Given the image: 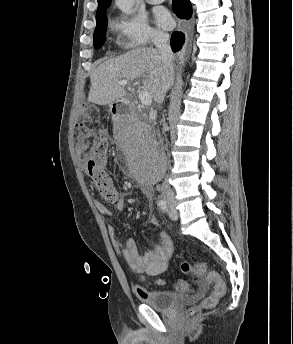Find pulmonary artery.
I'll return each instance as SVG.
<instances>
[{"label": "pulmonary artery", "instance_id": "e3ab8cb5", "mask_svg": "<svg viewBox=\"0 0 293 344\" xmlns=\"http://www.w3.org/2000/svg\"><path fill=\"white\" fill-rule=\"evenodd\" d=\"M164 0H147L148 3L150 4H160L162 3Z\"/></svg>", "mask_w": 293, "mask_h": 344}]
</instances>
